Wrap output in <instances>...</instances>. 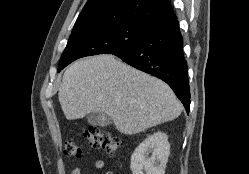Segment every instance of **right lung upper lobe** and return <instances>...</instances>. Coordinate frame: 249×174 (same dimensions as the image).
Instances as JSON below:
<instances>
[{"mask_svg":"<svg viewBox=\"0 0 249 174\" xmlns=\"http://www.w3.org/2000/svg\"><path fill=\"white\" fill-rule=\"evenodd\" d=\"M173 15L170 0H88L72 32L122 21L148 23Z\"/></svg>","mask_w":249,"mask_h":174,"instance_id":"right-lung-upper-lobe-1","label":"right lung upper lobe"}]
</instances>
